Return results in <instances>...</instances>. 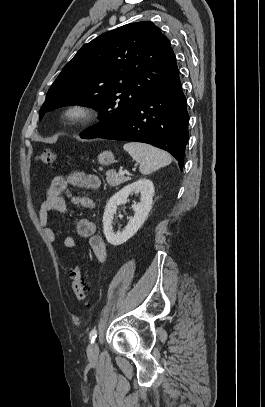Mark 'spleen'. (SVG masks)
I'll list each match as a JSON object with an SVG mask.
<instances>
[{"instance_id":"1","label":"spleen","mask_w":265,"mask_h":407,"mask_svg":"<svg viewBox=\"0 0 265 407\" xmlns=\"http://www.w3.org/2000/svg\"><path fill=\"white\" fill-rule=\"evenodd\" d=\"M123 148L140 164L139 169L143 175H148L171 163V156L167 152L145 143L129 142Z\"/></svg>"}]
</instances>
